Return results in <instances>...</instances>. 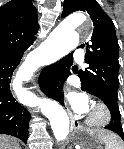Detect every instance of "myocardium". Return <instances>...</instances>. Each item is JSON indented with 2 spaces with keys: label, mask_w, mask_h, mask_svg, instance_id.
<instances>
[{
  "label": "myocardium",
  "mask_w": 124,
  "mask_h": 149,
  "mask_svg": "<svg viewBox=\"0 0 124 149\" xmlns=\"http://www.w3.org/2000/svg\"><path fill=\"white\" fill-rule=\"evenodd\" d=\"M112 118L111 110L108 105L102 101L94 102L91 112L86 119V124L94 129L106 127Z\"/></svg>",
  "instance_id": "f54148a6"
}]
</instances>
